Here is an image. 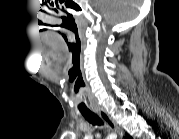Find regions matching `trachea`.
Instances as JSON below:
<instances>
[{"instance_id":"1","label":"trachea","mask_w":179,"mask_h":139,"mask_svg":"<svg viewBox=\"0 0 179 139\" xmlns=\"http://www.w3.org/2000/svg\"><path fill=\"white\" fill-rule=\"evenodd\" d=\"M81 114L84 116V118L93 125H103V121L99 118L98 115L91 111L87 112H81Z\"/></svg>"}]
</instances>
